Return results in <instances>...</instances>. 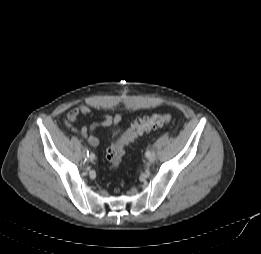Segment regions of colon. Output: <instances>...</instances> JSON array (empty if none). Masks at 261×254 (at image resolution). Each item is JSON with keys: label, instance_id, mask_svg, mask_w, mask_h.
<instances>
[{"label": "colon", "instance_id": "1", "mask_svg": "<svg viewBox=\"0 0 261 254\" xmlns=\"http://www.w3.org/2000/svg\"><path fill=\"white\" fill-rule=\"evenodd\" d=\"M170 122L171 116L169 114H152L135 120L131 127L107 149L106 159L110 167L114 170L119 168L125 147L132 143L136 137L168 125Z\"/></svg>", "mask_w": 261, "mask_h": 254}]
</instances>
